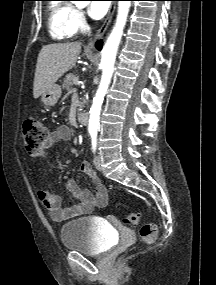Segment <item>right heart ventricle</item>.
<instances>
[{"label": "right heart ventricle", "mask_w": 216, "mask_h": 285, "mask_svg": "<svg viewBox=\"0 0 216 285\" xmlns=\"http://www.w3.org/2000/svg\"><path fill=\"white\" fill-rule=\"evenodd\" d=\"M74 11L69 3L52 2L49 5L48 29L54 40H67L76 34Z\"/></svg>", "instance_id": "1"}]
</instances>
